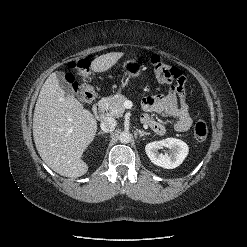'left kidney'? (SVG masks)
I'll return each mask as SVG.
<instances>
[{
  "mask_svg": "<svg viewBox=\"0 0 247 247\" xmlns=\"http://www.w3.org/2000/svg\"><path fill=\"white\" fill-rule=\"evenodd\" d=\"M166 147L170 153H159V149ZM145 151L151 162L165 169L178 167L188 155V145L180 139L166 138L153 141L146 145Z\"/></svg>",
  "mask_w": 247,
  "mask_h": 247,
  "instance_id": "obj_1",
  "label": "left kidney"
}]
</instances>
